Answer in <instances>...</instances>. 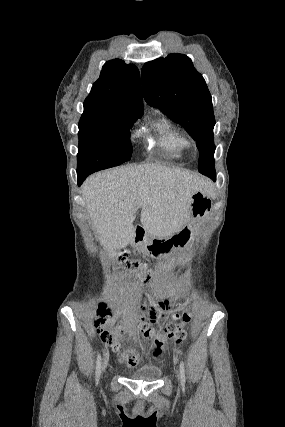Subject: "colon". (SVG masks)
<instances>
[{
    "label": "colon",
    "mask_w": 285,
    "mask_h": 427,
    "mask_svg": "<svg viewBox=\"0 0 285 427\" xmlns=\"http://www.w3.org/2000/svg\"><path fill=\"white\" fill-rule=\"evenodd\" d=\"M120 263L128 270L134 272L138 276H141L145 283H148L154 278V271L144 265H142L137 260L130 259L126 254H121L119 256ZM187 305L186 302L179 304V312L174 314L175 318H181L183 321V325H189L190 324V316L186 313H181V311L184 310L185 306ZM110 317V310L107 309L106 305H101L100 308L97 311V319L94 321V329L98 334H100L101 338L107 343L112 345L117 351L121 352V359L123 362L130 366H134L138 359L139 354L138 352L131 348V347H124L123 344L117 342L116 336L117 332L113 327H109L107 325ZM140 330L144 338H151L153 337L152 329L147 326L144 323L140 324ZM186 337V330L182 325H169L165 329L160 343L157 347L153 350V355L155 357H159L162 349L163 344L166 341H175V342H181Z\"/></svg>",
    "instance_id": "1"
}]
</instances>
